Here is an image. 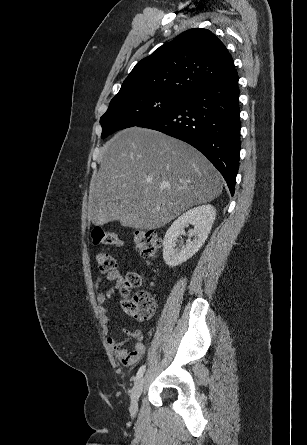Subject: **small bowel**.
I'll return each instance as SVG.
<instances>
[{"instance_id": "c3829d8e", "label": "small bowel", "mask_w": 307, "mask_h": 445, "mask_svg": "<svg viewBox=\"0 0 307 445\" xmlns=\"http://www.w3.org/2000/svg\"><path fill=\"white\" fill-rule=\"evenodd\" d=\"M107 282H112L115 287H120L124 283L123 275L118 270L108 272L104 277L98 276L95 279V289L97 290V301L99 304V313L104 324H110L111 318L105 307V304L112 293V289L104 291L102 286ZM126 339L120 340L115 336L107 337V343L116 358H118L124 365L130 366L140 360L145 352V346L142 344V332L138 329L134 331L123 330ZM134 339L136 343L131 347H126L129 340Z\"/></svg>"}]
</instances>
